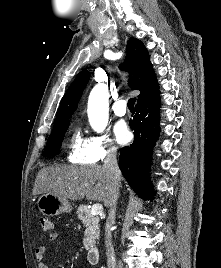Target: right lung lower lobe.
<instances>
[{
    "mask_svg": "<svg viewBox=\"0 0 221 268\" xmlns=\"http://www.w3.org/2000/svg\"><path fill=\"white\" fill-rule=\"evenodd\" d=\"M160 92L136 104V113L129 124L134 142L120 150L119 167L133 190L143 199L154 198L149 180L152 148L159 136Z\"/></svg>",
    "mask_w": 221,
    "mask_h": 268,
    "instance_id": "98d812e1",
    "label": "right lung lower lobe"
}]
</instances>
